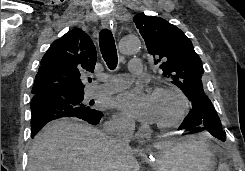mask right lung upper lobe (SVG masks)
I'll return each instance as SVG.
<instances>
[{"instance_id":"right-lung-upper-lobe-1","label":"right lung upper lobe","mask_w":245,"mask_h":171,"mask_svg":"<svg viewBox=\"0 0 245 171\" xmlns=\"http://www.w3.org/2000/svg\"><path fill=\"white\" fill-rule=\"evenodd\" d=\"M97 58L91 38L75 28L55 40L43 56L32 94L71 96L84 94L81 75L93 72Z\"/></svg>"}]
</instances>
